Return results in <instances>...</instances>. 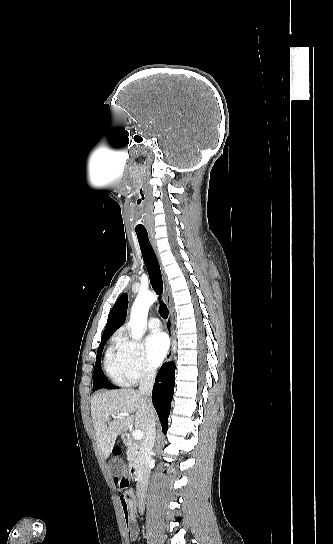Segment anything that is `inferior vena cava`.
<instances>
[{"instance_id": "obj_1", "label": "inferior vena cava", "mask_w": 333, "mask_h": 544, "mask_svg": "<svg viewBox=\"0 0 333 544\" xmlns=\"http://www.w3.org/2000/svg\"><path fill=\"white\" fill-rule=\"evenodd\" d=\"M156 372L151 367H145L142 371L139 393L143 396H150L152 388L155 382ZM156 436L155 420L152 415H149L147 427L145 431V438L141 445L139 457H138V470H137V487L136 494L139 504L140 513L144 512L146 490L148 487V481L150 477V464H151V451L154 446Z\"/></svg>"}]
</instances>
